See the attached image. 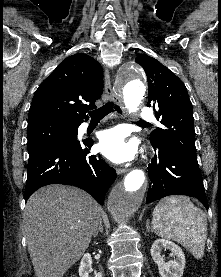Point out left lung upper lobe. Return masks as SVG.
<instances>
[{"instance_id": "1", "label": "left lung upper lobe", "mask_w": 221, "mask_h": 277, "mask_svg": "<svg viewBox=\"0 0 221 277\" xmlns=\"http://www.w3.org/2000/svg\"><path fill=\"white\" fill-rule=\"evenodd\" d=\"M140 64L148 79L147 106L155 110L157 119L165 126L151 133L155 147H171L197 161L192 104L184 83L156 59L139 55Z\"/></svg>"}]
</instances>
